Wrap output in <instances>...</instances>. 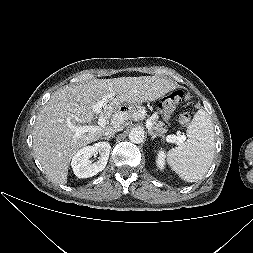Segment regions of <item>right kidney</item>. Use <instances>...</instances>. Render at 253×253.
<instances>
[{"mask_svg": "<svg viewBox=\"0 0 253 253\" xmlns=\"http://www.w3.org/2000/svg\"><path fill=\"white\" fill-rule=\"evenodd\" d=\"M111 146L108 142H98L78 150L73 156L71 166L78 178H88L102 171L108 161ZM99 154L98 160L90 161L93 155Z\"/></svg>", "mask_w": 253, "mask_h": 253, "instance_id": "1", "label": "right kidney"}]
</instances>
